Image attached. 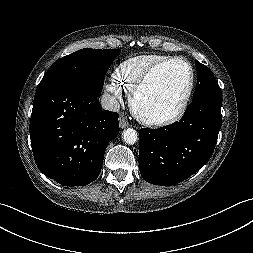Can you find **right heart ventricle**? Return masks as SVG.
<instances>
[{"label": "right heart ventricle", "mask_w": 253, "mask_h": 253, "mask_svg": "<svg viewBox=\"0 0 253 253\" xmlns=\"http://www.w3.org/2000/svg\"><path fill=\"white\" fill-rule=\"evenodd\" d=\"M170 57L149 53L130 57L121 62L112 73V80L120 90L131 94L144 72L153 64Z\"/></svg>", "instance_id": "right-heart-ventricle-1"}]
</instances>
